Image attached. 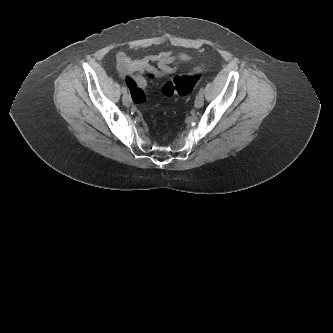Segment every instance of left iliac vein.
I'll use <instances>...</instances> for the list:
<instances>
[{
	"mask_svg": "<svg viewBox=\"0 0 333 333\" xmlns=\"http://www.w3.org/2000/svg\"><path fill=\"white\" fill-rule=\"evenodd\" d=\"M204 98L202 94H198L195 99V107L200 108L203 106Z\"/></svg>",
	"mask_w": 333,
	"mask_h": 333,
	"instance_id": "1",
	"label": "left iliac vein"
}]
</instances>
